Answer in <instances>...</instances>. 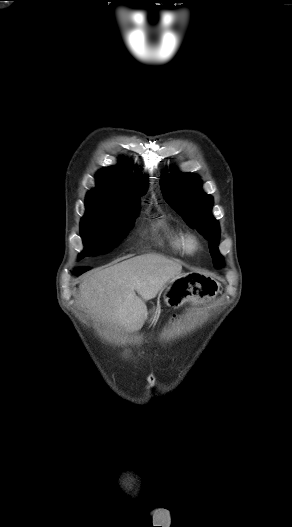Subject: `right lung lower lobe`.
Here are the masks:
<instances>
[{
	"label": "right lung lower lobe",
	"instance_id": "obj_1",
	"mask_svg": "<svg viewBox=\"0 0 292 527\" xmlns=\"http://www.w3.org/2000/svg\"><path fill=\"white\" fill-rule=\"evenodd\" d=\"M89 270V268H79V269H75L73 272L74 273H83L85 271Z\"/></svg>",
	"mask_w": 292,
	"mask_h": 527
}]
</instances>
